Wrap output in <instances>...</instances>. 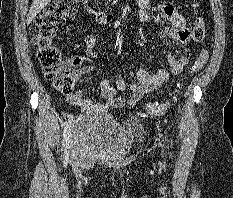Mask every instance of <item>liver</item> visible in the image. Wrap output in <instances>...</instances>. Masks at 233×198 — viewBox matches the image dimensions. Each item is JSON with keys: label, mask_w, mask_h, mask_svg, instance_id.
Segmentation results:
<instances>
[{"label": "liver", "mask_w": 233, "mask_h": 198, "mask_svg": "<svg viewBox=\"0 0 233 198\" xmlns=\"http://www.w3.org/2000/svg\"><path fill=\"white\" fill-rule=\"evenodd\" d=\"M50 1L51 0H33L26 20L28 25L42 9H44L50 3Z\"/></svg>", "instance_id": "liver-1"}]
</instances>
